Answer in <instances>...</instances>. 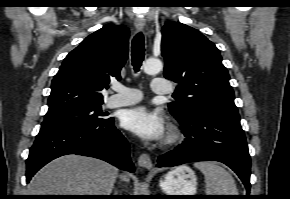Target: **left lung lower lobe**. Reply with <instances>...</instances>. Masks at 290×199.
<instances>
[{
	"label": "left lung lower lobe",
	"instance_id": "1",
	"mask_svg": "<svg viewBox=\"0 0 290 199\" xmlns=\"http://www.w3.org/2000/svg\"><path fill=\"white\" fill-rule=\"evenodd\" d=\"M179 123L186 140L175 150L161 155L157 167L219 161L236 172L249 192L251 160L240 119L197 110Z\"/></svg>",
	"mask_w": 290,
	"mask_h": 199
}]
</instances>
